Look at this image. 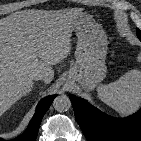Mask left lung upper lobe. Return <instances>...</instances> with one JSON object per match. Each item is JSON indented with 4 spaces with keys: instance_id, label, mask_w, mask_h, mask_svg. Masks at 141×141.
Instances as JSON below:
<instances>
[{
    "instance_id": "left-lung-upper-lobe-1",
    "label": "left lung upper lobe",
    "mask_w": 141,
    "mask_h": 141,
    "mask_svg": "<svg viewBox=\"0 0 141 141\" xmlns=\"http://www.w3.org/2000/svg\"><path fill=\"white\" fill-rule=\"evenodd\" d=\"M138 33H141V31H140V30H138V31H137V34H138Z\"/></svg>"
}]
</instances>
